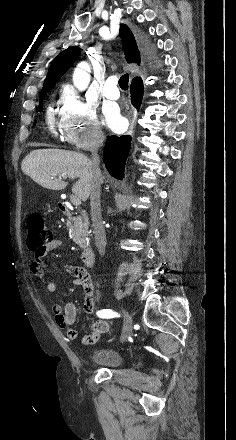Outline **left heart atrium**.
<instances>
[{"label": "left heart atrium", "instance_id": "39dd6f15", "mask_svg": "<svg viewBox=\"0 0 236 440\" xmlns=\"http://www.w3.org/2000/svg\"><path fill=\"white\" fill-rule=\"evenodd\" d=\"M105 122L113 130H117L122 126L121 117L116 108H111L106 112Z\"/></svg>", "mask_w": 236, "mask_h": 440}]
</instances>
